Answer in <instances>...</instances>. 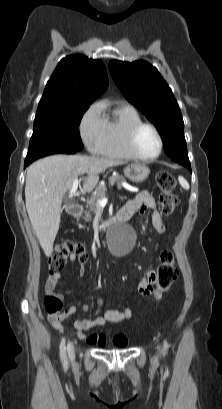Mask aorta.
Segmentation results:
<instances>
[{
  "mask_svg": "<svg viewBox=\"0 0 222 409\" xmlns=\"http://www.w3.org/2000/svg\"><path fill=\"white\" fill-rule=\"evenodd\" d=\"M131 236V229L126 225H116L111 232L110 243L112 248L118 254H126L131 249L129 237Z\"/></svg>",
  "mask_w": 222,
  "mask_h": 409,
  "instance_id": "1",
  "label": "aorta"
}]
</instances>
